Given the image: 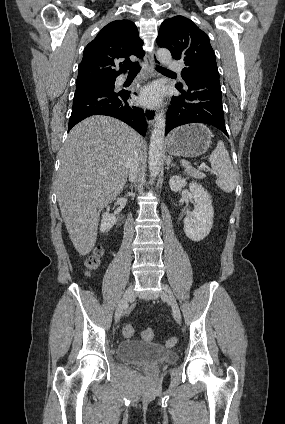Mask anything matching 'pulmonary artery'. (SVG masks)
Here are the masks:
<instances>
[{"label":"pulmonary artery","mask_w":285,"mask_h":424,"mask_svg":"<svg viewBox=\"0 0 285 424\" xmlns=\"http://www.w3.org/2000/svg\"><path fill=\"white\" fill-rule=\"evenodd\" d=\"M168 67L172 72H180L182 70V65L174 61L169 62ZM121 81L123 80L121 79Z\"/></svg>","instance_id":"pulmonary-artery-1"}]
</instances>
